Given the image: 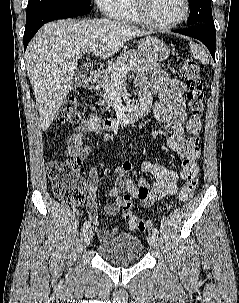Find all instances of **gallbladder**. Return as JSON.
<instances>
[{
	"label": "gallbladder",
	"mask_w": 239,
	"mask_h": 303,
	"mask_svg": "<svg viewBox=\"0 0 239 303\" xmlns=\"http://www.w3.org/2000/svg\"><path fill=\"white\" fill-rule=\"evenodd\" d=\"M84 79V74L82 71H78L75 73L73 79L71 80V88L76 89L82 85Z\"/></svg>",
	"instance_id": "obj_1"
}]
</instances>
